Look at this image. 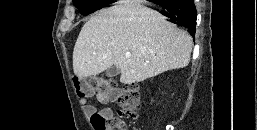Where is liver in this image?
Here are the masks:
<instances>
[{
  "label": "liver",
  "mask_w": 257,
  "mask_h": 130,
  "mask_svg": "<svg viewBox=\"0 0 257 130\" xmlns=\"http://www.w3.org/2000/svg\"><path fill=\"white\" fill-rule=\"evenodd\" d=\"M192 46L191 36L159 12L137 2H119L84 24L74 46L73 70L82 78L116 66L120 82L132 84L186 67Z\"/></svg>",
  "instance_id": "liver-1"
}]
</instances>
